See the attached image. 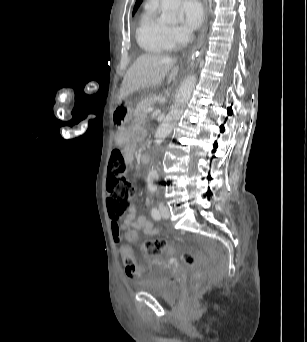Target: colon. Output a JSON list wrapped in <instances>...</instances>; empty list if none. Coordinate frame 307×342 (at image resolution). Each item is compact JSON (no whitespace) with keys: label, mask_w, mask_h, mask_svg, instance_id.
Listing matches in <instances>:
<instances>
[{"label":"colon","mask_w":307,"mask_h":342,"mask_svg":"<svg viewBox=\"0 0 307 342\" xmlns=\"http://www.w3.org/2000/svg\"><path fill=\"white\" fill-rule=\"evenodd\" d=\"M126 163L122 152L119 149H114L110 156L109 168L107 174V190L111 198L110 213L116 218L120 219L131 209V198L135 191V186L132 182L126 179ZM126 232L128 234L127 240L129 242L135 241L134 226H127ZM148 256L157 257L160 253L166 250L168 253H177V246H169L164 240L146 241L140 247ZM120 253L124 255L125 273L132 281H138L142 269L135 264L132 256L133 248L131 243H122ZM181 260L184 263V268H190L192 281H188V288H201V283H205L206 267L199 266V261L189 253H183Z\"/></svg>","instance_id":"obj_1"}]
</instances>
